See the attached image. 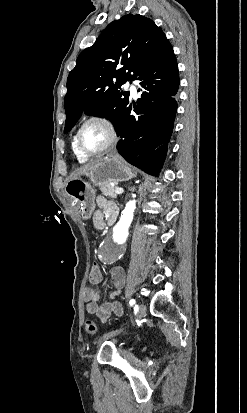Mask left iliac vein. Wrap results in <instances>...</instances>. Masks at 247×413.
<instances>
[{
	"label": "left iliac vein",
	"instance_id": "obj_1",
	"mask_svg": "<svg viewBox=\"0 0 247 413\" xmlns=\"http://www.w3.org/2000/svg\"><path fill=\"white\" fill-rule=\"evenodd\" d=\"M145 313H146V306H145V304L142 303V304H140V306L138 308L137 318L138 319L142 318L145 315ZM120 333H121V330L110 331L108 333H105L101 337H99L96 340L95 343H96V345H100L102 342H104V341H106V340H108V339H110V338H112V337H114V336H116Z\"/></svg>",
	"mask_w": 247,
	"mask_h": 413
}]
</instances>
